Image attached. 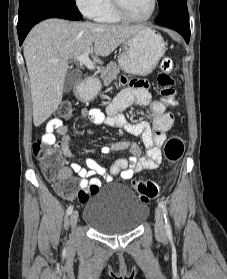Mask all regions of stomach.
<instances>
[{
  "mask_svg": "<svg viewBox=\"0 0 227 279\" xmlns=\"http://www.w3.org/2000/svg\"><path fill=\"white\" fill-rule=\"evenodd\" d=\"M165 51L166 45L162 36L151 28L142 27L123 42L118 63L127 73L148 75L156 68ZM100 88L98 82L89 81L81 87L79 95L84 100H92Z\"/></svg>",
  "mask_w": 227,
  "mask_h": 279,
  "instance_id": "stomach-1",
  "label": "stomach"
}]
</instances>
